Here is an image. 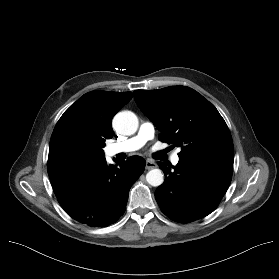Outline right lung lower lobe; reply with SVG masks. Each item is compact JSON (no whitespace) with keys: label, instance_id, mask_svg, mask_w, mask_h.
<instances>
[{"label":"right lung lower lobe","instance_id":"1","mask_svg":"<svg viewBox=\"0 0 279 279\" xmlns=\"http://www.w3.org/2000/svg\"><path fill=\"white\" fill-rule=\"evenodd\" d=\"M117 164H107L104 158L49 174L54 193L69 216L92 227H105L123 215L129 190L146 161L132 156Z\"/></svg>","mask_w":279,"mask_h":279}]
</instances>
